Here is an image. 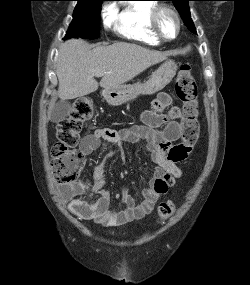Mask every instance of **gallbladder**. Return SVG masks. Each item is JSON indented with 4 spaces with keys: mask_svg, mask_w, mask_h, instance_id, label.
I'll return each instance as SVG.
<instances>
[{
    "mask_svg": "<svg viewBox=\"0 0 250 285\" xmlns=\"http://www.w3.org/2000/svg\"><path fill=\"white\" fill-rule=\"evenodd\" d=\"M71 105L68 101H60L55 104L51 111V121L60 122L67 118L70 114Z\"/></svg>",
    "mask_w": 250,
    "mask_h": 285,
    "instance_id": "gallbladder-1",
    "label": "gallbladder"
}]
</instances>
